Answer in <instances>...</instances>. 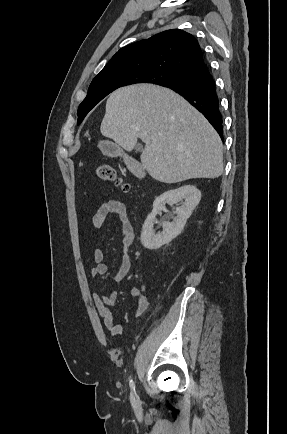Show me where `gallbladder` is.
I'll list each match as a JSON object with an SVG mask.
<instances>
[{
	"label": "gallbladder",
	"mask_w": 287,
	"mask_h": 434,
	"mask_svg": "<svg viewBox=\"0 0 287 434\" xmlns=\"http://www.w3.org/2000/svg\"><path fill=\"white\" fill-rule=\"evenodd\" d=\"M136 148H137L138 150H142V146H141V145H137Z\"/></svg>",
	"instance_id": "gallbladder-1"
}]
</instances>
